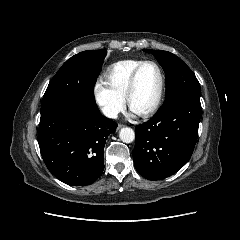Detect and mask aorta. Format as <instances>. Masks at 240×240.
I'll return each mask as SVG.
<instances>
[{
	"label": "aorta",
	"instance_id": "1",
	"mask_svg": "<svg viewBox=\"0 0 240 240\" xmlns=\"http://www.w3.org/2000/svg\"><path fill=\"white\" fill-rule=\"evenodd\" d=\"M119 138L124 143H131L135 139V132L129 127H124L119 131Z\"/></svg>",
	"mask_w": 240,
	"mask_h": 240
}]
</instances>
